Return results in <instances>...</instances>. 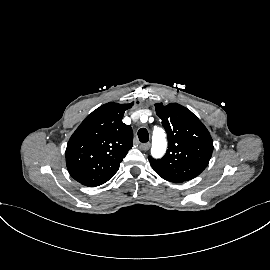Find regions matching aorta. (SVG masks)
<instances>
[{
	"label": "aorta",
	"instance_id": "obj_1",
	"mask_svg": "<svg viewBox=\"0 0 270 270\" xmlns=\"http://www.w3.org/2000/svg\"><path fill=\"white\" fill-rule=\"evenodd\" d=\"M166 138L162 129H155L153 132V143L151 153L155 158H160L166 151Z\"/></svg>",
	"mask_w": 270,
	"mask_h": 270
}]
</instances>
